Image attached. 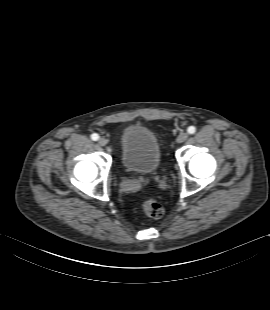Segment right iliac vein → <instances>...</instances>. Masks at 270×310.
Wrapping results in <instances>:
<instances>
[{
	"label": "right iliac vein",
	"instance_id": "63e3f726",
	"mask_svg": "<svg viewBox=\"0 0 270 310\" xmlns=\"http://www.w3.org/2000/svg\"><path fill=\"white\" fill-rule=\"evenodd\" d=\"M98 143L100 146H105L107 144V140L105 138H100Z\"/></svg>",
	"mask_w": 270,
	"mask_h": 310
}]
</instances>
